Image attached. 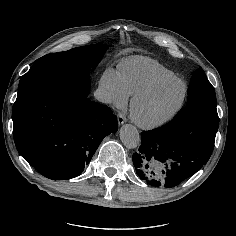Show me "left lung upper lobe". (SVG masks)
Segmentation results:
<instances>
[{"instance_id":"1","label":"left lung upper lobe","mask_w":236,"mask_h":236,"mask_svg":"<svg viewBox=\"0 0 236 236\" xmlns=\"http://www.w3.org/2000/svg\"><path fill=\"white\" fill-rule=\"evenodd\" d=\"M192 103H206L216 105V95L213 86L207 80L202 68L193 72L188 87V101L186 106Z\"/></svg>"}]
</instances>
